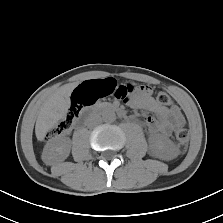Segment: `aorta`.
Masks as SVG:
<instances>
[{
    "label": "aorta",
    "instance_id": "762f6f07",
    "mask_svg": "<svg viewBox=\"0 0 223 223\" xmlns=\"http://www.w3.org/2000/svg\"><path fill=\"white\" fill-rule=\"evenodd\" d=\"M102 120L107 123H112L116 120V114L111 110H104L102 112Z\"/></svg>",
    "mask_w": 223,
    "mask_h": 223
}]
</instances>
